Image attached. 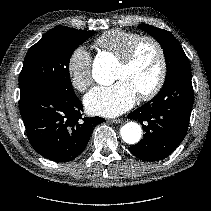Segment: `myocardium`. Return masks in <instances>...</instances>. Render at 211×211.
Returning <instances> with one entry per match:
<instances>
[{
	"label": "myocardium",
	"instance_id": "1",
	"mask_svg": "<svg viewBox=\"0 0 211 211\" xmlns=\"http://www.w3.org/2000/svg\"><path fill=\"white\" fill-rule=\"evenodd\" d=\"M146 42L151 43L156 48L159 56L160 68L158 77L154 85L148 91L139 94V98L142 101H148L153 99L155 96H157V94L161 91L162 87L164 86L167 76V60L163 45L158 39L153 36H140L130 45L126 53L119 59V65L124 68L129 67L133 63L140 47Z\"/></svg>",
	"mask_w": 211,
	"mask_h": 211
}]
</instances>
